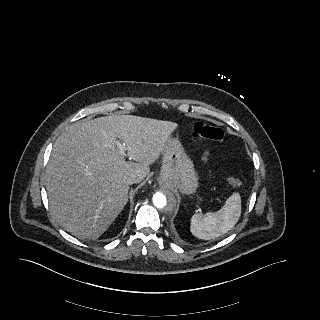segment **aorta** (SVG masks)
Listing matches in <instances>:
<instances>
[{
	"instance_id": "1",
	"label": "aorta",
	"mask_w": 320,
	"mask_h": 320,
	"mask_svg": "<svg viewBox=\"0 0 320 320\" xmlns=\"http://www.w3.org/2000/svg\"><path fill=\"white\" fill-rule=\"evenodd\" d=\"M177 206V199L174 194L165 189L156 192L152 198L151 211L158 218H162L163 215L172 213Z\"/></svg>"
}]
</instances>
